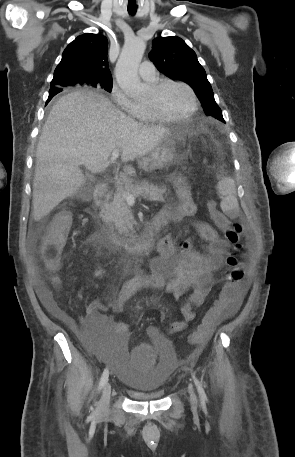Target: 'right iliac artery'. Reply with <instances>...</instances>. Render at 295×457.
<instances>
[{"mask_svg":"<svg viewBox=\"0 0 295 457\" xmlns=\"http://www.w3.org/2000/svg\"><path fill=\"white\" fill-rule=\"evenodd\" d=\"M108 375H109V372H108V369H104L103 371V374L101 376V379H100V382H99V390L102 389V387L105 385V383L107 382L108 380Z\"/></svg>","mask_w":295,"mask_h":457,"instance_id":"1","label":"right iliac artery"}]
</instances>
